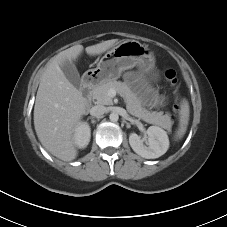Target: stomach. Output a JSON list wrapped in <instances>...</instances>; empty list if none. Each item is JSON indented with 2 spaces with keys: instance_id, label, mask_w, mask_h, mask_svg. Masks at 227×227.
Listing matches in <instances>:
<instances>
[{
  "instance_id": "obj_1",
  "label": "stomach",
  "mask_w": 227,
  "mask_h": 227,
  "mask_svg": "<svg viewBox=\"0 0 227 227\" xmlns=\"http://www.w3.org/2000/svg\"><path fill=\"white\" fill-rule=\"evenodd\" d=\"M138 67L139 71L150 80H157L153 51L135 40H126L107 51L96 68L85 72L92 83L101 84L118 79L124 70Z\"/></svg>"
}]
</instances>
